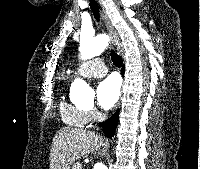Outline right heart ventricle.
Masks as SVG:
<instances>
[{"mask_svg":"<svg viewBox=\"0 0 200 169\" xmlns=\"http://www.w3.org/2000/svg\"><path fill=\"white\" fill-rule=\"evenodd\" d=\"M59 112L64 123L72 127H84L87 124L85 110L66 101L59 104Z\"/></svg>","mask_w":200,"mask_h":169,"instance_id":"1","label":"right heart ventricle"}]
</instances>
